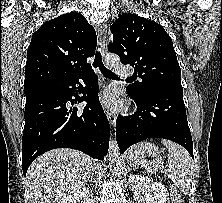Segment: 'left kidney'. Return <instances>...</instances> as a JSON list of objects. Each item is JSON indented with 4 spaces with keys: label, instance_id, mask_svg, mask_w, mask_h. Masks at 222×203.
I'll use <instances>...</instances> for the list:
<instances>
[{
    "label": "left kidney",
    "instance_id": "left-kidney-1",
    "mask_svg": "<svg viewBox=\"0 0 222 203\" xmlns=\"http://www.w3.org/2000/svg\"><path fill=\"white\" fill-rule=\"evenodd\" d=\"M128 183L129 188L136 196H143V203H170L167 188L160 182L131 174Z\"/></svg>",
    "mask_w": 222,
    "mask_h": 203
}]
</instances>
